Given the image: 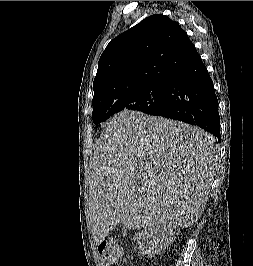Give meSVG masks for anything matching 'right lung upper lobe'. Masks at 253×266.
Wrapping results in <instances>:
<instances>
[{
	"instance_id": "cb5924a9",
	"label": "right lung upper lobe",
	"mask_w": 253,
	"mask_h": 266,
	"mask_svg": "<svg viewBox=\"0 0 253 266\" xmlns=\"http://www.w3.org/2000/svg\"><path fill=\"white\" fill-rule=\"evenodd\" d=\"M199 57L176 21L152 15L107 45L98 62L92 104L152 82H167Z\"/></svg>"
}]
</instances>
